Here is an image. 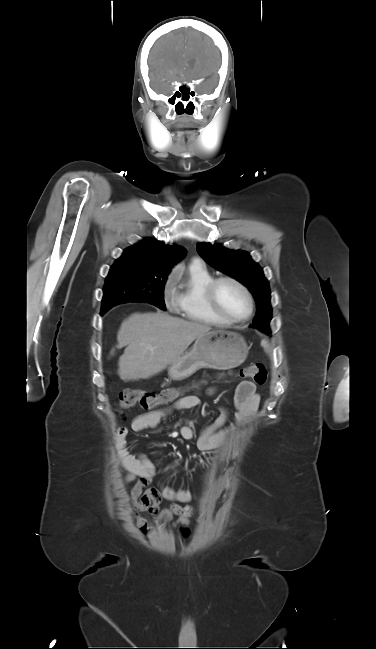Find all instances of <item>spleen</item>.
I'll return each mask as SVG.
<instances>
[{
	"label": "spleen",
	"mask_w": 376,
	"mask_h": 649,
	"mask_svg": "<svg viewBox=\"0 0 376 649\" xmlns=\"http://www.w3.org/2000/svg\"><path fill=\"white\" fill-rule=\"evenodd\" d=\"M262 345L264 346L265 350H268V344L266 341H262Z\"/></svg>",
	"instance_id": "obj_1"
}]
</instances>
